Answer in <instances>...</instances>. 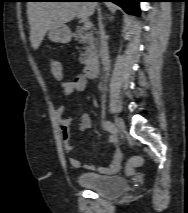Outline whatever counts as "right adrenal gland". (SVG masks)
<instances>
[{
    "instance_id": "right-adrenal-gland-1",
    "label": "right adrenal gland",
    "mask_w": 188,
    "mask_h": 213,
    "mask_svg": "<svg viewBox=\"0 0 188 213\" xmlns=\"http://www.w3.org/2000/svg\"><path fill=\"white\" fill-rule=\"evenodd\" d=\"M99 18L102 20V13L99 11Z\"/></svg>"
}]
</instances>
